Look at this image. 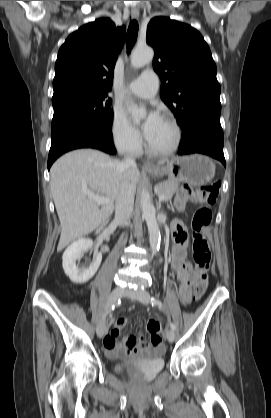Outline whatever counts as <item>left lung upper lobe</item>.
<instances>
[{
  "label": "left lung upper lobe",
  "mask_w": 271,
  "mask_h": 418,
  "mask_svg": "<svg viewBox=\"0 0 271 418\" xmlns=\"http://www.w3.org/2000/svg\"><path fill=\"white\" fill-rule=\"evenodd\" d=\"M154 48V70L162 80L161 98L182 129L199 119H220L216 65L202 35L191 26L155 17L147 27Z\"/></svg>",
  "instance_id": "obj_1"
}]
</instances>
